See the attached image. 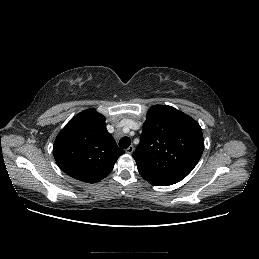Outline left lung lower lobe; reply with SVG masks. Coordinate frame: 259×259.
I'll use <instances>...</instances> for the list:
<instances>
[{"label": "left lung lower lobe", "mask_w": 259, "mask_h": 259, "mask_svg": "<svg viewBox=\"0 0 259 259\" xmlns=\"http://www.w3.org/2000/svg\"><path fill=\"white\" fill-rule=\"evenodd\" d=\"M138 171L140 173V175L146 180L148 181L150 184L154 185V186H167V185H172L175 184L176 182L165 179L161 176H157L147 170L138 168Z\"/></svg>", "instance_id": "left-lung-lower-lobe-1"}]
</instances>
